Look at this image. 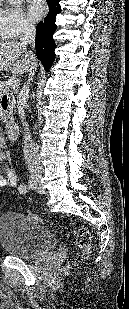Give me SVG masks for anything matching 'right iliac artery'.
<instances>
[{
    "instance_id": "82829eb1",
    "label": "right iliac artery",
    "mask_w": 129,
    "mask_h": 309,
    "mask_svg": "<svg viewBox=\"0 0 129 309\" xmlns=\"http://www.w3.org/2000/svg\"><path fill=\"white\" fill-rule=\"evenodd\" d=\"M18 190H19V192H20L21 194H25V193L28 192L29 187H28L27 185L23 184V185H20V186H19Z\"/></svg>"
}]
</instances>
